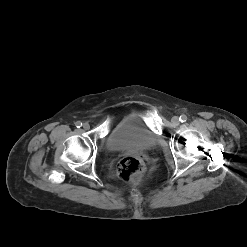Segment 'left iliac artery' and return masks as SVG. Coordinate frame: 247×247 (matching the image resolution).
<instances>
[{"label": "left iliac artery", "instance_id": "44dca946", "mask_svg": "<svg viewBox=\"0 0 247 247\" xmlns=\"http://www.w3.org/2000/svg\"><path fill=\"white\" fill-rule=\"evenodd\" d=\"M179 120H180L181 122H186V121H187V116L184 115V114H182V115L180 116Z\"/></svg>", "mask_w": 247, "mask_h": 247}]
</instances>
